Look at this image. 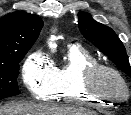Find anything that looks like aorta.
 Instances as JSON below:
<instances>
[{"mask_svg": "<svg viewBox=\"0 0 131 115\" xmlns=\"http://www.w3.org/2000/svg\"><path fill=\"white\" fill-rule=\"evenodd\" d=\"M49 47L54 50V49H56V44L53 42H50Z\"/></svg>", "mask_w": 131, "mask_h": 115, "instance_id": "obj_1", "label": "aorta"}]
</instances>
